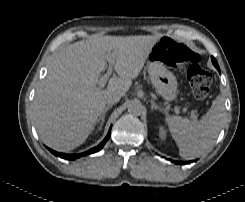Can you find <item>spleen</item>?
Wrapping results in <instances>:
<instances>
[{
	"instance_id": "spleen-1",
	"label": "spleen",
	"mask_w": 245,
	"mask_h": 202,
	"mask_svg": "<svg viewBox=\"0 0 245 202\" xmlns=\"http://www.w3.org/2000/svg\"><path fill=\"white\" fill-rule=\"evenodd\" d=\"M225 117L224 100L218 96L199 121L180 116L166 119L171 136L184 159H193L208 151L219 135Z\"/></svg>"
}]
</instances>
